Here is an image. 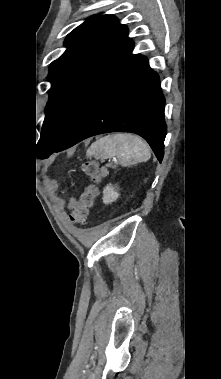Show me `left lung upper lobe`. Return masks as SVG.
<instances>
[{"label":"left lung upper lobe","mask_w":221,"mask_h":379,"mask_svg":"<svg viewBox=\"0 0 221 379\" xmlns=\"http://www.w3.org/2000/svg\"><path fill=\"white\" fill-rule=\"evenodd\" d=\"M128 29L112 15H95L68 34L63 55L52 62L45 120L36 146L47 158L107 87L137 58Z\"/></svg>","instance_id":"1"}]
</instances>
